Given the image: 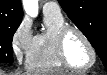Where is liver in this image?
Masks as SVG:
<instances>
[{
	"label": "liver",
	"instance_id": "obj_1",
	"mask_svg": "<svg viewBox=\"0 0 107 75\" xmlns=\"http://www.w3.org/2000/svg\"><path fill=\"white\" fill-rule=\"evenodd\" d=\"M12 75H29V73H23V74L18 73V74H12Z\"/></svg>",
	"mask_w": 107,
	"mask_h": 75
}]
</instances>
